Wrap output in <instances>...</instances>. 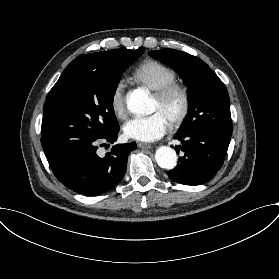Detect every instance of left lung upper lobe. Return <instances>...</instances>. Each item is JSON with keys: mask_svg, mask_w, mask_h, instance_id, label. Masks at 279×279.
I'll list each match as a JSON object with an SVG mask.
<instances>
[{"mask_svg": "<svg viewBox=\"0 0 279 279\" xmlns=\"http://www.w3.org/2000/svg\"><path fill=\"white\" fill-rule=\"evenodd\" d=\"M149 54L175 69L188 87L189 114L179 133L199 128L232 133L228 91L205 62L174 49L156 50Z\"/></svg>", "mask_w": 279, "mask_h": 279, "instance_id": "1", "label": "left lung upper lobe"}]
</instances>
